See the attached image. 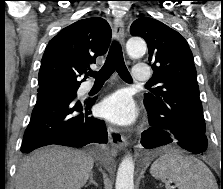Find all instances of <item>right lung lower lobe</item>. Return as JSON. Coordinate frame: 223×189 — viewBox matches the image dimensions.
<instances>
[{
	"label": "right lung lower lobe",
	"instance_id": "obj_1",
	"mask_svg": "<svg viewBox=\"0 0 223 189\" xmlns=\"http://www.w3.org/2000/svg\"><path fill=\"white\" fill-rule=\"evenodd\" d=\"M94 103V99L77 101L76 91L38 93L21 151L29 153L51 144L83 147L107 143L104 121L94 118L89 111Z\"/></svg>",
	"mask_w": 223,
	"mask_h": 189
}]
</instances>
